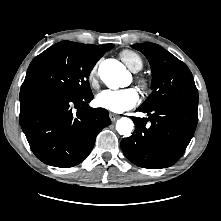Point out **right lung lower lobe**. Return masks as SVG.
Listing matches in <instances>:
<instances>
[{
  "instance_id": "obj_1",
  "label": "right lung lower lobe",
  "mask_w": 221,
  "mask_h": 221,
  "mask_svg": "<svg viewBox=\"0 0 221 221\" xmlns=\"http://www.w3.org/2000/svg\"><path fill=\"white\" fill-rule=\"evenodd\" d=\"M92 99V93L70 97L49 89L20 91L21 127L39 160L68 168L90 154L97 134L111 124L106 109L89 107Z\"/></svg>"
}]
</instances>
